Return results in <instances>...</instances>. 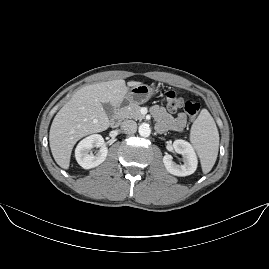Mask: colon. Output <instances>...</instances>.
Instances as JSON below:
<instances>
[{"label":"colon","instance_id":"colon-1","mask_svg":"<svg viewBox=\"0 0 269 269\" xmlns=\"http://www.w3.org/2000/svg\"><path fill=\"white\" fill-rule=\"evenodd\" d=\"M164 105L171 113H176L183 109L192 119H194L201 110L200 103L190 100L186 101L181 95L173 91H167L165 93Z\"/></svg>","mask_w":269,"mask_h":269}]
</instances>
